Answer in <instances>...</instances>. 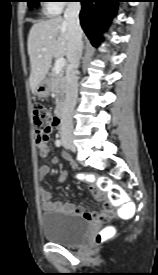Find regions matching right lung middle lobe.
<instances>
[{
  "mask_svg": "<svg viewBox=\"0 0 158 275\" xmlns=\"http://www.w3.org/2000/svg\"><path fill=\"white\" fill-rule=\"evenodd\" d=\"M29 8H35L39 6V0H27Z\"/></svg>",
  "mask_w": 158,
  "mask_h": 275,
  "instance_id": "right-lung-middle-lobe-1",
  "label": "right lung middle lobe"
}]
</instances>
